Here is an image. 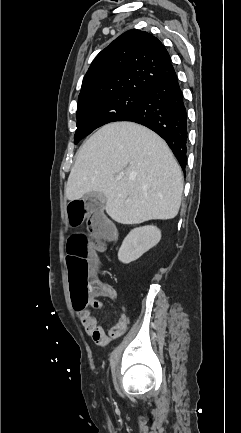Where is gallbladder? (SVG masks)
<instances>
[{
    "label": "gallbladder",
    "instance_id": "1",
    "mask_svg": "<svg viewBox=\"0 0 241 433\" xmlns=\"http://www.w3.org/2000/svg\"><path fill=\"white\" fill-rule=\"evenodd\" d=\"M89 199L90 200L96 199V200L100 201L101 203H104L106 200V197L103 193L94 191V192H89L84 196V200H89Z\"/></svg>",
    "mask_w": 241,
    "mask_h": 433
}]
</instances>
